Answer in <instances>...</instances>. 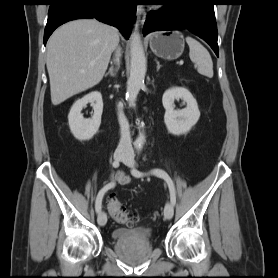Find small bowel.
I'll return each mask as SVG.
<instances>
[{"instance_id":"1","label":"small bowel","mask_w":278,"mask_h":278,"mask_svg":"<svg viewBox=\"0 0 278 278\" xmlns=\"http://www.w3.org/2000/svg\"><path fill=\"white\" fill-rule=\"evenodd\" d=\"M115 183H118L120 185H128L131 183V177L121 171H118L111 177L110 182L108 184L115 185Z\"/></svg>"}]
</instances>
